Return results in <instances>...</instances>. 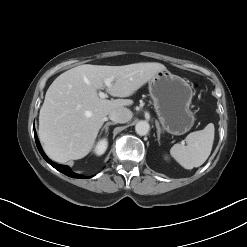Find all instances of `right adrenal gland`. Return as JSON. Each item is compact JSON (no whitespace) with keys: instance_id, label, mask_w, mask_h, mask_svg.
Masks as SVG:
<instances>
[{"instance_id":"2a0ac1e0","label":"right adrenal gland","mask_w":247,"mask_h":247,"mask_svg":"<svg viewBox=\"0 0 247 247\" xmlns=\"http://www.w3.org/2000/svg\"><path fill=\"white\" fill-rule=\"evenodd\" d=\"M115 124H116L115 122H107V123L102 127L101 133H100V134H102V132L105 130V134L107 135L109 126H110V125H115Z\"/></svg>"}]
</instances>
